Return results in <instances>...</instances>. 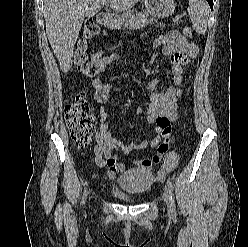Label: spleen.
I'll return each instance as SVG.
<instances>
[{"instance_id": "obj_1", "label": "spleen", "mask_w": 248, "mask_h": 247, "mask_svg": "<svg viewBox=\"0 0 248 247\" xmlns=\"http://www.w3.org/2000/svg\"><path fill=\"white\" fill-rule=\"evenodd\" d=\"M193 28L198 34H205L209 17V7L202 0H189L187 9Z\"/></svg>"}]
</instances>
